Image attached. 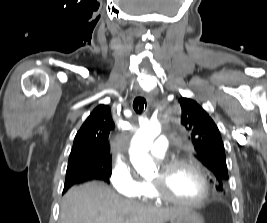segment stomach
Masks as SVG:
<instances>
[{
  "instance_id": "stomach-1",
  "label": "stomach",
  "mask_w": 267,
  "mask_h": 223,
  "mask_svg": "<svg viewBox=\"0 0 267 223\" xmlns=\"http://www.w3.org/2000/svg\"><path fill=\"white\" fill-rule=\"evenodd\" d=\"M170 223H204L203 218L189 209H183L182 213L172 218Z\"/></svg>"
}]
</instances>
